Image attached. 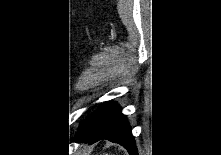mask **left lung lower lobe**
Here are the masks:
<instances>
[{"label":"left lung lower lobe","instance_id":"1","mask_svg":"<svg viewBox=\"0 0 221 155\" xmlns=\"http://www.w3.org/2000/svg\"><path fill=\"white\" fill-rule=\"evenodd\" d=\"M100 139L119 143L130 155H138L129 124L114 103L103 104L79 126L78 142L87 140L89 143H94Z\"/></svg>","mask_w":221,"mask_h":155}]
</instances>
